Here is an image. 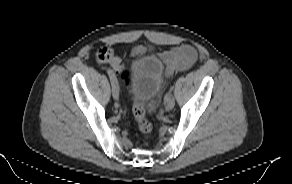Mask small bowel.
Here are the masks:
<instances>
[{
    "mask_svg": "<svg viewBox=\"0 0 292 184\" xmlns=\"http://www.w3.org/2000/svg\"><path fill=\"white\" fill-rule=\"evenodd\" d=\"M148 51L145 46H137L132 50V55L139 57ZM160 58L165 64V76L171 77L178 71H185L190 69L197 60L196 49L188 44L173 47L169 50L163 51L159 54ZM114 70L120 71L123 67L122 61L118 57L110 62Z\"/></svg>",
    "mask_w": 292,
    "mask_h": 184,
    "instance_id": "1",
    "label": "small bowel"
}]
</instances>
